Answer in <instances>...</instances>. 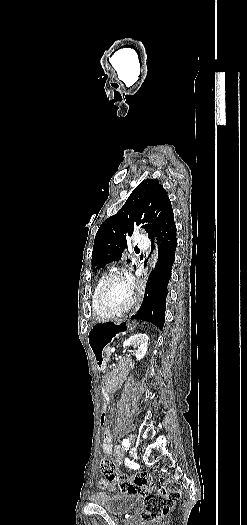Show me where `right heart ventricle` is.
<instances>
[{"label": "right heart ventricle", "instance_id": "e07e8e85", "mask_svg": "<svg viewBox=\"0 0 247 525\" xmlns=\"http://www.w3.org/2000/svg\"><path fill=\"white\" fill-rule=\"evenodd\" d=\"M106 276L107 274L103 273L102 276L99 278L98 283L101 282ZM99 304H100V299L96 297L95 290H94V292L91 295V307H92L93 317H111V315L104 313L99 308Z\"/></svg>", "mask_w": 247, "mask_h": 525}]
</instances>
